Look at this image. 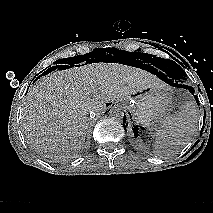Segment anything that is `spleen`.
Segmentation results:
<instances>
[{
    "instance_id": "1",
    "label": "spleen",
    "mask_w": 213,
    "mask_h": 213,
    "mask_svg": "<svg viewBox=\"0 0 213 213\" xmlns=\"http://www.w3.org/2000/svg\"><path fill=\"white\" fill-rule=\"evenodd\" d=\"M197 108L194 100H189L173 115H167L155 132L154 147L163 151L179 150L188 143L196 129Z\"/></svg>"
}]
</instances>
